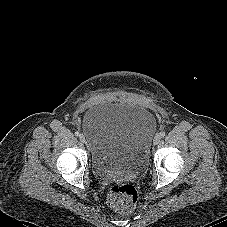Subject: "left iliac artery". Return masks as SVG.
<instances>
[{
    "label": "left iliac artery",
    "instance_id": "obj_1",
    "mask_svg": "<svg viewBox=\"0 0 227 227\" xmlns=\"http://www.w3.org/2000/svg\"><path fill=\"white\" fill-rule=\"evenodd\" d=\"M160 134H161L162 137H164L166 135L165 132H161Z\"/></svg>",
    "mask_w": 227,
    "mask_h": 227
}]
</instances>
